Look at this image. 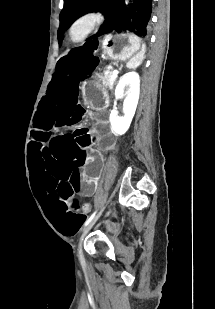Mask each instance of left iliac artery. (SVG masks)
<instances>
[{"label":"left iliac artery","mask_w":215,"mask_h":309,"mask_svg":"<svg viewBox=\"0 0 215 309\" xmlns=\"http://www.w3.org/2000/svg\"><path fill=\"white\" fill-rule=\"evenodd\" d=\"M103 208L99 211L98 209L91 215V217L84 223L83 228L97 215L101 214Z\"/></svg>","instance_id":"obj_1"}]
</instances>
